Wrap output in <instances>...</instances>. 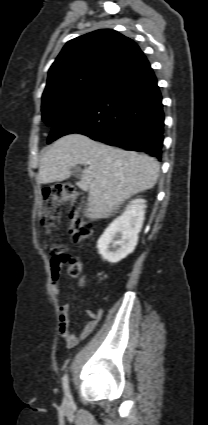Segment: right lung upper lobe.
I'll use <instances>...</instances> for the list:
<instances>
[{
    "label": "right lung upper lobe",
    "instance_id": "1",
    "mask_svg": "<svg viewBox=\"0 0 208 425\" xmlns=\"http://www.w3.org/2000/svg\"><path fill=\"white\" fill-rule=\"evenodd\" d=\"M145 57L130 38L100 29L70 40L48 72L42 102L85 89H106Z\"/></svg>",
    "mask_w": 208,
    "mask_h": 425
}]
</instances>
